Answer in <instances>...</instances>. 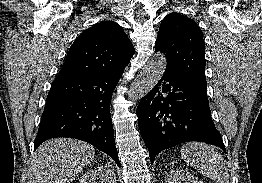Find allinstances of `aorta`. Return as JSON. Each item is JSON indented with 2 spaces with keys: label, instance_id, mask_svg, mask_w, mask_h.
<instances>
[{
  "label": "aorta",
  "instance_id": "1",
  "mask_svg": "<svg viewBox=\"0 0 262 183\" xmlns=\"http://www.w3.org/2000/svg\"><path fill=\"white\" fill-rule=\"evenodd\" d=\"M166 58L157 53L151 57L130 86L128 97L136 101L149 93L161 79L166 69Z\"/></svg>",
  "mask_w": 262,
  "mask_h": 183
}]
</instances>
